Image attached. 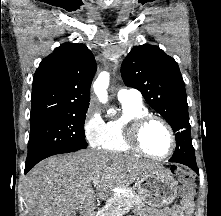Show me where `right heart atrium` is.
I'll list each match as a JSON object with an SVG mask.
<instances>
[{"instance_id": "right-heart-atrium-1", "label": "right heart atrium", "mask_w": 221, "mask_h": 216, "mask_svg": "<svg viewBox=\"0 0 221 216\" xmlns=\"http://www.w3.org/2000/svg\"><path fill=\"white\" fill-rule=\"evenodd\" d=\"M105 132V122L98 108L90 105L86 111L83 121V133L86 141L92 147L101 145Z\"/></svg>"}]
</instances>
